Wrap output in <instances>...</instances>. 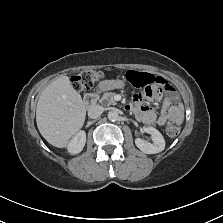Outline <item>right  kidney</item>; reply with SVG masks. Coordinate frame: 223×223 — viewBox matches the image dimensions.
<instances>
[{
    "label": "right kidney",
    "instance_id": "right-kidney-1",
    "mask_svg": "<svg viewBox=\"0 0 223 223\" xmlns=\"http://www.w3.org/2000/svg\"><path fill=\"white\" fill-rule=\"evenodd\" d=\"M86 143V133L85 131L81 130L79 131L75 137H73L68 145H67V150L70 154L75 155L80 153Z\"/></svg>",
    "mask_w": 223,
    "mask_h": 223
}]
</instances>
